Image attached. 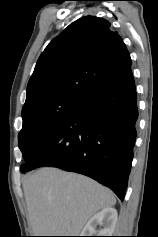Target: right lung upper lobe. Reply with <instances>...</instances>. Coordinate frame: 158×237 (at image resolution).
<instances>
[{
  "label": "right lung upper lobe",
  "instance_id": "obj_1",
  "mask_svg": "<svg viewBox=\"0 0 158 237\" xmlns=\"http://www.w3.org/2000/svg\"><path fill=\"white\" fill-rule=\"evenodd\" d=\"M131 66L122 38L102 18L70 24L39 57L27 86L22 112L53 98L85 101Z\"/></svg>",
  "mask_w": 158,
  "mask_h": 237
}]
</instances>
